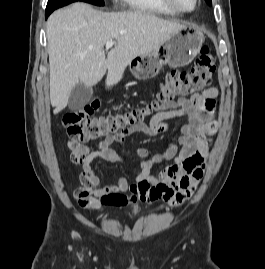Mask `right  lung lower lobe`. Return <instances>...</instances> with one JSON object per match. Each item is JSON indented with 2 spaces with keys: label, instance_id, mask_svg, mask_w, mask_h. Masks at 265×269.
<instances>
[{
  "label": "right lung lower lobe",
  "instance_id": "1",
  "mask_svg": "<svg viewBox=\"0 0 265 269\" xmlns=\"http://www.w3.org/2000/svg\"><path fill=\"white\" fill-rule=\"evenodd\" d=\"M76 2V0H56L48 2L45 12V18L47 19L48 16L57 8L63 7L70 3Z\"/></svg>",
  "mask_w": 265,
  "mask_h": 269
}]
</instances>
